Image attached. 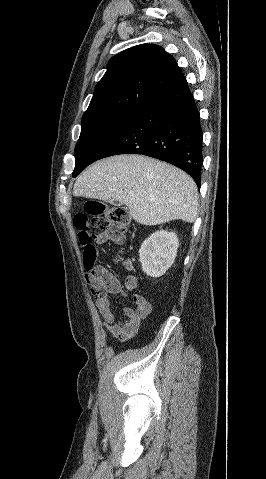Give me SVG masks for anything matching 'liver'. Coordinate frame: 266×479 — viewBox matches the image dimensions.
Here are the masks:
<instances>
[{
  "label": "liver",
  "mask_w": 266,
  "mask_h": 479,
  "mask_svg": "<svg viewBox=\"0 0 266 479\" xmlns=\"http://www.w3.org/2000/svg\"><path fill=\"white\" fill-rule=\"evenodd\" d=\"M77 197L116 200L147 226L172 220L192 223L198 215V190L184 171L142 155H117L91 165L76 180Z\"/></svg>",
  "instance_id": "6515ba94"
}]
</instances>
